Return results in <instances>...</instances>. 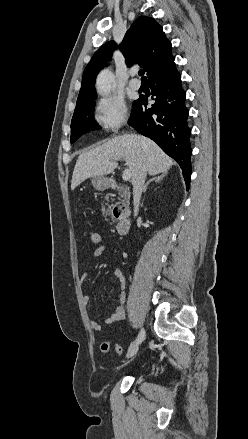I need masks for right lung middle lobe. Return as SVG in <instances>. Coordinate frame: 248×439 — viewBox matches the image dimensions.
I'll return each instance as SVG.
<instances>
[{"label": "right lung middle lobe", "instance_id": "right-lung-middle-lobe-1", "mask_svg": "<svg viewBox=\"0 0 248 439\" xmlns=\"http://www.w3.org/2000/svg\"><path fill=\"white\" fill-rule=\"evenodd\" d=\"M94 99L85 102L75 109L71 121V143H74L80 136L87 132L101 129L93 118Z\"/></svg>", "mask_w": 248, "mask_h": 439}]
</instances>
